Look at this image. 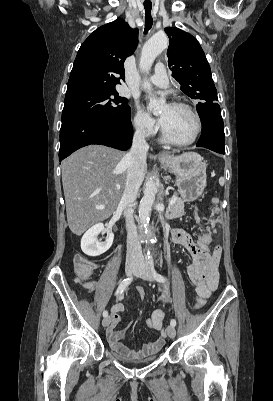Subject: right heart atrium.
I'll list each match as a JSON object with an SVG mask.
<instances>
[{
  "mask_svg": "<svg viewBox=\"0 0 273 401\" xmlns=\"http://www.w3.org/2000/svg\"><path fill=\"white\" fill-rule=\"evenodd\" d=\"M135 132L142 138H150L157 132V123L141 108H137L132 119Z\"/></svg>",
  "mask_w": 273,
  "mask_h": 401,
  "instance_id": "d8ad5b80",
  "label": "right heart atrium"
}]
</instances>
